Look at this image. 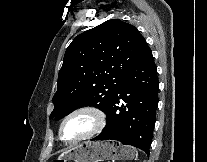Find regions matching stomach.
<instances>
[{"label":"stomach","mask_w":207,"mask_h":162,"mask_svg":"<svg viewBox=\"0 0 207 162\" xmlns=\"http://www.w3.org/2000/svg\"><path fill=\"white\" fill-rule=\"evenodd\" d=\"M135 150L128 145L110 141L86 142L63 153L59 160H74V162H102L105 160H131Z\"/></svg>","instance_id":"0dacf381"}]
</instances>
